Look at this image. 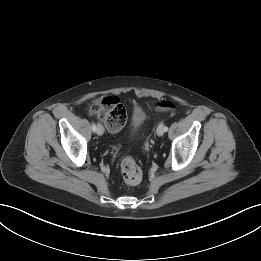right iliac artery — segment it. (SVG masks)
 Segmentation results:
<instances>
[{
    "mask_svg": "<svg viewBox=\"0 0 261 261\" xmlns=\"http://www.w3.org/2000/svg\"><path fill=\"white\" fill-rule=\"evenodd\" d=\"M96 130H97L96 124L94 122H92V131L96 132Z\"/></svg>",
    "mask_w": 261,
    "mask_h": 261,
    "instance_id": "obj_1",
    "label": "right iliac artery"
}]
</instances>
